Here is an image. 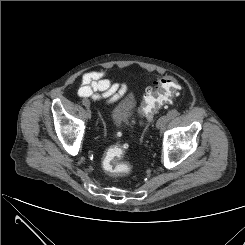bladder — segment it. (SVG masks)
<instances>
[{
	"mask_svg": "<svg viewBox=\"0 0 245 245\" xmlns=\"http://www.w3.org/2000/svg\"><path fill=\"white\" fill-rule=\"evenodd\" d=\"M136 98L132 92H125L114 103L110 118L115 126L123 127L130 120L136 108Z\"/></svg>",
	"mask_w": 245,
	"mask_h": 245,
	"instance_id": "31cf9c89",
	"label": "bladder"
}]
</instances>
